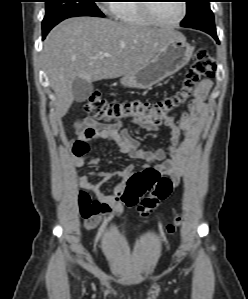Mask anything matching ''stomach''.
<instances>
[{
  "mask_svg": "<svg viewBox=\"0 0 248 299\" xmlns=\"http://www.w3.org/2000/svg\"><path fill=\"white\" fill-rule=\"evenodd\" d=\"M194 48L185 38L168 42L155 57L139 71L124 75L120 82L130 88L147 89L178 72L191 59Z\"/></svg>",
  "mask_w": 248,
  "mask_h": 299,
  "instance_id": "stomach-1",
  "label": "stomach"
}]
</instances>
